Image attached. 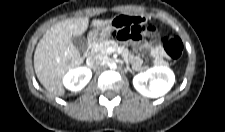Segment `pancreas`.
<instances>
[{"label":"pancreas","mask_w":225,"mask_h":132,"mask_svg":"<svg viewBox=\"0 0 225 132\" xmlns=\"http://www.w3.org/2000/svg\"><path fill=\"white\" fill-rule=\"evenodd\" d=\"M108 48H113L114 50H118V52L122 55L124 61L126 63H128V56H129V51L127 48H125L124 46H118V43L114 40H103L100 42H97L94 46H93V52L101 55V56H107L110 54V52H108ZM163 65L168 66V62H163Z\"/></svg>","instance_id":"cf45deb5"}]
</instances>
